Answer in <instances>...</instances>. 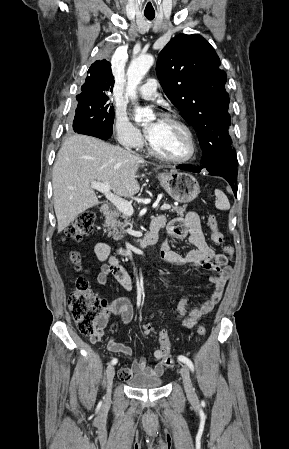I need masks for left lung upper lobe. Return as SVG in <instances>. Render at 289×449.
Returning a JSON list of instances; mask_svg holds the SVG:
<instances>
[{
    "mask_svg": "<svg viewBox=\"0 0 289 449\" xmlns=\"http://www.w3.org/2000/svg\"><path fill=\"white\" fill-rule=\"evenodd\" d=\"M209 42L199 34L177 35L158 56L156 73L170 101L198 133L201 163L218 175L237 174L229 135L226 73Z\"/></svg>",
    "mask_w": 289,
    "mask_h": 449,
    "instance_id": "5c2ea615",
    "label": "left lung upper lobe"
}]
</instances>
